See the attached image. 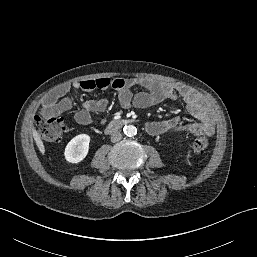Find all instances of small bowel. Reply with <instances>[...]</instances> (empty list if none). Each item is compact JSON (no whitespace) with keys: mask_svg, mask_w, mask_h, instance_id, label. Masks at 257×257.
Masks as SVG:
<instances>
[{"mask_svg":"<svg viewBox=\"0 0 257 257\" xmlns=\"http://www.w3.org/2000/svg\"><path fill=\"white\" fill-rule=\"evenodd\" d=\"M136 87L143 88L144 91L133 94L132 90ZM71 88L85 92L95 89L113 88L117 91L120 102L126 109L147 108L165 100L181 99L184 101L188 113L196 122L185 127H179V117L162 121H151L146 125L147 132L150 135H161L181 131L194 136H211L214 133V123L205 102L197 94L183 86L141 78L102 77L74 82L70 85H62L56 90V97L64 96ZM108 103L107 98L104 97L83 100L82 109L74 114V120L80 125L93 124L92 113L103 112L107 108ZM52 106L60 113L69 110L72 102L69 99H64Z\"/></svg>","mask_w":257,"mask_h":257,"instance_id":"obj_1","label":"small bowel"}]
</instances>
